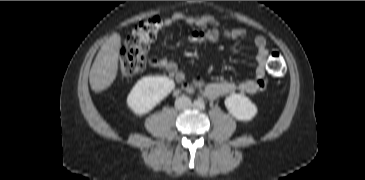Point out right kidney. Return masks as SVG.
Masks as SVG:
<instances>
[{
    "instance_id": "right-kidney-1",
    "label": "right kidney",
    "mask_w": 365,
    "mask_h": 180,
    "mask_svg": "<svg viewBox=\"0 0 365 180\" xmlns=\"http://www.w3.org/2000/svg\"><path fill=\"white\" fill-rule=\"evenodd\" d=\"M174 88V81L166 76L143 77L127 96V106L134 114L142 116L149 113Z\"/></svg>"
}]
</instances>
